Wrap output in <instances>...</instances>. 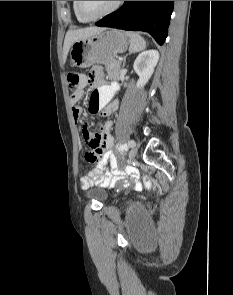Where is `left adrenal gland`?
<instances>
[{
  "label": "left adrenal gland",
  "instance_id": "obj_1",
  "mask_svg": "<svg viewBox=\"0 0 233 295\" xmlns=\"http://www.w3.org/2000/svg\"><path fill=\"white\" fill-rule=\"evenodd\" d=\"M129 54H130V53H129ZM129 54H126V55L124 56V59H123V65H122V67H124V66H125V64H126V58H127V56H128Z\"/></svg>",
  "mask_w": 233,
  "mask_h": 295
}]
</instances>
